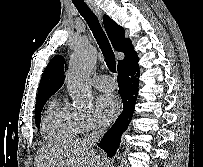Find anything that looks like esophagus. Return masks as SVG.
Returning <instances> with one entry per match:
<instances>
[{"mask_svg": "<svg viewBox=\"0 0 203 167\" xmlns=\"http://www.w3.org/2000/svg\"><path fill=\"white\" fill-rule=\"evenodd\" d=\"M88 5L90 6V8L98 15V16H102V12L99 9V7L93 3L92 1L89 0Z\"/></svg>", "mask_w": 203, "mask_h": 167, "instance_id": "1", "label": "esophagus"}]
</instances>
